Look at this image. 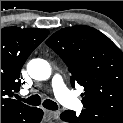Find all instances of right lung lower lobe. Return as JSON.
<instances>
[{"instance_id": "obj_1", "label": "right lung lower lobe", "mask_w": 123, "mask_h": 123, "mask_svg": "<svg viewBox=\"0 0 123 123\" xmlns=\"http://www.w3.org/2000/svg\"><path fill=\"white\" fill-rule=\"evenodd\" d=\"M43 117V111L39 108L28 107L13 113L1 123H39Z\"/></svg>"}]
</instances>
